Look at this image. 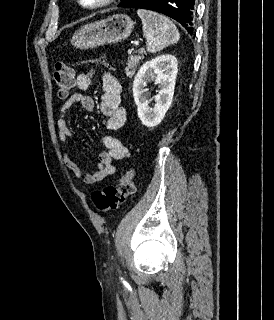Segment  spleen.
<instances>
[{
	"label": "spleen",
	"instance_id": "spleen-1",
	"mask_svg": "<svg viewBox=\"0 0 274 320\" xmlns=\"http://www.w3.org/2000/svg\"><path fill=\"white\" fill-rule=\"evenodd\" d=\"M137 14L142 20L143 36L147 40V52L156 54L170 44H177L180 34L175 24L166 16L150 12V10H137Z\"/></svg>",
	"mask_w": 274,
	"mask_h": 320
}]
</instances>
